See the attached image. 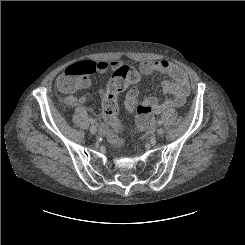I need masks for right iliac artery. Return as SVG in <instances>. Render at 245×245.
Listing matches in <instances>:
<instances>
[{
	"label": "right iliac artery",
	"mask_w": 245,
	"mask_h": 245,
	"mask_svg": "<svg viewBox=\"0 0 245 245\" xmlns=\"http://www.w3.org/2000/svg\"><path fill=\"white\" fill-rule=\"evenodd\" d=\"M89 120H90V122H91L92 124L94 123V119H93V118H90Z\"/></svg>",
	"instance_id": "right-iliac-artery-1"
}]
</instances>
